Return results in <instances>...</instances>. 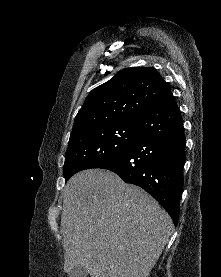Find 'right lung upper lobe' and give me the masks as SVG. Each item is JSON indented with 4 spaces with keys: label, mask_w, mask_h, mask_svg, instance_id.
I'll use <instances>...</instances> for the list:
<instances>
[{
    "label": "right lung upper lobe",
    "mask_w": 221,
    "mask_h": 277,
    "mask_svg": "<svg viewBox=\"0 0 221 277\" xmlns=\"http://www.w3.org/2000/svg\"><path fill=\"white\" fill-rule=\"evenodd\" d=\"M171 98L167 83L156 69H123L89 93L75 117L71 136L96 126L136 122Z\"/></svg>",
    "instance_id": "cb5924a9"
}]
</instances>
